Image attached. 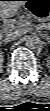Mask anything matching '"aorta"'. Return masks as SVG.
<instances>
[{"instance_id": "1", "label": "aorta", "mask_w": 50, "mask_h": 111, "mask_svg": "<svg viewBox=\"0 0 50 111\" xmlns=\"http://www.w3.org/2000/svg\"><path fill=\"white\" fill-rule=\"evenodd\" d=\"M41 44V40L36 35H29L25 38V45L30 49H36Z\"/></svg>"}]
</instances>
